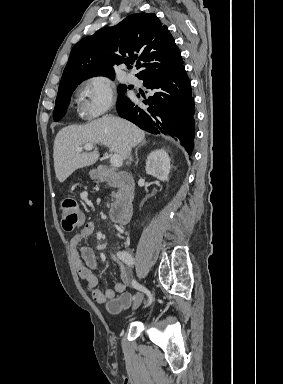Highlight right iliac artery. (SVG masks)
I'll list each match as a JSON object with an SVG mask.
<instances>
[{
  "instance_id": "obj_1",
  "label": "right iliac artery",
  "mask_w": 283,
  "mask_h": 384,
  "mask_svg": "<svg viewBox=\"0 0 283 384\" xmlns=\"http://www.w3.org/2000/svg\"><path fill=\"white\" fill-rule=\"evenodd\" d=\"M117 256L120 260L125 262L128 266L133 265V258L128 252L119 251V252H117ZM132 286L135 289L146 293V295L148 296V303L145 305V307L149 306L153 301V296H152L151 292L147 288H145L144 286L139 284L135 279L132 281Z\"/></svg>"
}]
</instances>
